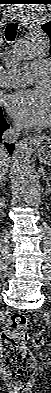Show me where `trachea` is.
<instances>
[{
  "label": "trachea",
  "instance_id": "3493384b",
  "mask_svg": "<svg viewBox=\"0 0 51 393\" xmlns=\"http://www.w3.org/2000/svg\"><path fill=\"white\" fill-rule=\"evenodd\" d=\"M18 23H9L5 29V37L9 42L15 40L17 34Z\"/></svg>",
  "mask_w": 51,
  "mask_h": 393
}]
</instances>
